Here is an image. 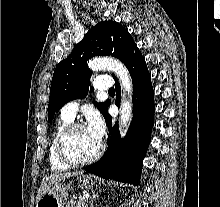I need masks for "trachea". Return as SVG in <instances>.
I'll return each mask as SVG.
<instances>
[{"mask_svg":"<svg viewBox=\"0 0 220 207\" xmlns=\"http://www.w3.org/2000/svg\"><path fill=\"white\" fill-rule=\"evenodd\" d=\"M108 92H115L114 88L109 89Z\"/></svg>","mask_w":220,"mask_h":207,"instance_id":"1","label":"trachea"}]
</instances>
